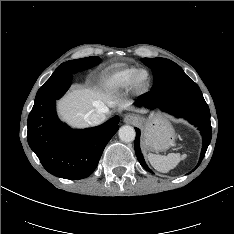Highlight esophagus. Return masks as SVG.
Wrapping results in <instances>:
<instances>
[{
	"instance_id": "esophagus-1",
	"label": "esophagus",
	"mask_w": 234,
	"mask_h": 234,
	"mask_svg": "<svg viewBox=\"0 0 234 234\" xmlns=\"http://www.w3.org/2000/svg\"><path fill=\"white\" fill-rule=\"evenodd\" d=\"M124 122L127 124H134L137 122V117L133 116V115H125L124 116Z\"/></svg>"
}]
</instances>
